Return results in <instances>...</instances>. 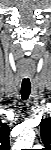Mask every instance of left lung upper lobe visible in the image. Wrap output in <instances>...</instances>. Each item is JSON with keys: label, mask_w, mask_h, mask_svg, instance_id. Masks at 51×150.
Listing matches in <instances>:
<instances>
[{"label": "left lung upper lobe", "mask_w": 51, "mask_h": 150, "mask_svg": "<svg viewBox=\"0 0 51 150\" xmlns=\"http://www.w3.org/2000/svg\"><path fill=\"white\" fill-rule=\"evenodd\" d=\"M41 138L46 148L51 147V119H44L40 123Z\"/></svg>", "instance_id": "5c2ea615"}]
</instances>
